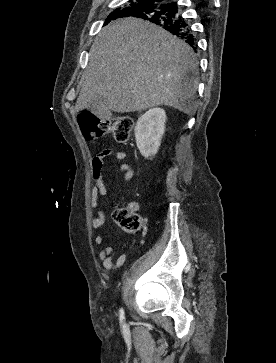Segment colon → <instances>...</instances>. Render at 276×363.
Instances as JSON below:
<instances>
[{"mask_svg": "<svg viewBox=\"0 0 276 363\" xmlns=\"http://www.w3.org/2000/svg\"><path fill=\"white\" fill-rule=\"evenodd\" d=\"M79 127L88 139H97L111 134L119 143L128 141L134 121L130 116H116L110 119H99L89 111L78 115ZM113 220L127 233L134 234L144 225L142 217L129 208H115L112 211Z\"/></svg>", "mask_w": 276, "mask_h": 363, "instance_id": "colon-1", "label": "colon"}]
</instances>
